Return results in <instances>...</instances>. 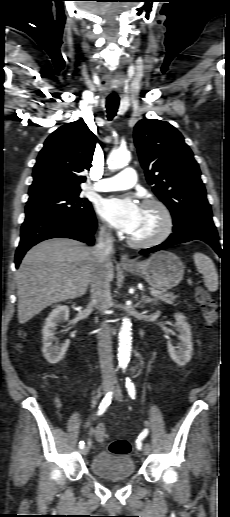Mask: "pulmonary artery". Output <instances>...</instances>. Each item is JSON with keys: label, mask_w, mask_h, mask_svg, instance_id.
<instances>
[{"label": "pulmonary artery", "mask_w": 230, "mask_h": 517, "mask_svg": "<svg viewBox=\"0 0 230 517\" xmlns=\"http://www.w3.org/2000/svg\"><path fill=\"white\" fill-rule=\"evenodd\" d=\"M136 184V173L132 168H126L122 172L102 179L93 185V189L101 192L126 190Z\"/></svg>", "instance_id": "obj_1"}]
</instances>
